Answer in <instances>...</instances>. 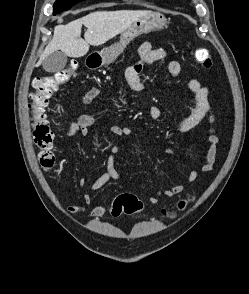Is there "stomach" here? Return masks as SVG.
Instances as JSON below:
<instances>
[{
	"instance_id": "0dacf381",
	"label": "stomach",
	"mask_w": 249,
	"mask_h": 294,
	"mask_svg": "<svg viewBox=\"0 0 249 294\" xmlns=\"http://www.w3.org/2000/svg\"><path fill=\"white\" fill-rule=\"evenodd\" d=\"M167 24L166 18L157 12H149L144 17L135 21L128 29L121 34L120 41L114 45L105 48L99 53L92 54V58L96 57L99 66H106L113 63L118 56L123 53L126 46L136 37L143 33H149L159 30Z\"/></svg>"
}]
</instances>
